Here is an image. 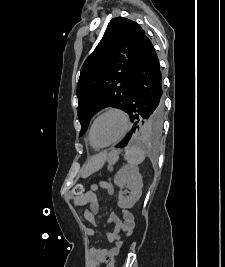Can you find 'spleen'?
Wrapping results in <instances>:
<instances>
[{
  "mask_svg": "<svg viewBox=\"0 0 225 267\" xmlns=\"http://www.w3.org/2000/svg\"><path fill=\"white\" fill-rule=\"evenodd\" d=\"M125 159L130 166L136 167L145 160V151L137 146H127Z\"/></svg>",
  "mask_w": 225,
  "mask_h": 267,
  "instance_id": "spleen-1",
  "label": "spleen"
}]
</instances>
